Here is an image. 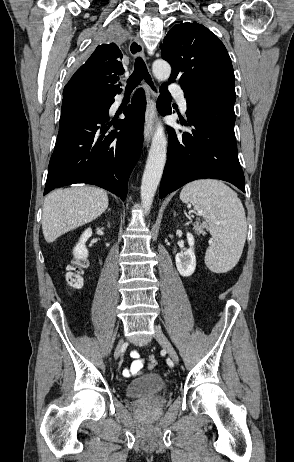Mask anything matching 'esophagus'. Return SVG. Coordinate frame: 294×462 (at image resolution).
<instances>
[{
	"label": "esophagus",
	"mask_w": 294,
	"mask_h": 462,
	"mask_svg": "<svg viewBox=\"0 0 294 462\" xmlns=\"http://www.w3.org/2000/svg\"><path fill=\"white\" fill-rule=\"evenodd\" d=\"M129 53L134 59L137 57L144 58V45L140 39L135 38L130 42ZM145 89L147 105L145 112L144 139L146 145H148L154 131V121L156 117V94L148 84H145Z\"/></svg>",
	"instance_id": "34e87169"
}]
</instances>
